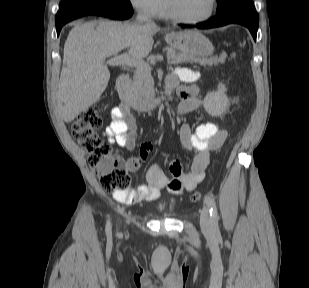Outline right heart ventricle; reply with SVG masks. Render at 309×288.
Here are the masks:
<instances>
[{"mask_svg": "<svg viewBox=\"0 0 309 288\" xmlns=\"http://www.w3.org/2000/svg\"><path fill=\"white\" fill-rule=\"evenodd\" d=\"M166 14V12H165V6H163V8H162V10H161V12H160V15H165Z\"/></svg>", "mask_w": 309, "mask_h": 288, "instance_id": "1", "label": "right heart ventricle"}]
</instances>
